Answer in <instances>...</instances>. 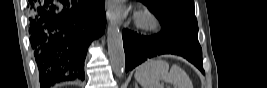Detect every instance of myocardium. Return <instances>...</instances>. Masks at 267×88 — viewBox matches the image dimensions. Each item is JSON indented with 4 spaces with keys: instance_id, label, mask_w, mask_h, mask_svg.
<instances>
[{
    "instance_id": "myocardium-1",
    "label": "myocardium",
    "mask_w": 267,
    "mask_h": 88,
    "mask_svg": "<svg viewBox=\"0 0 267 88\" xmlns=\"http://www.w3.org/2000/svg\"><path fill=\"white\" fill-rule=\"evenodd\" d=\"M136 27L146 33L156 34L162 29L160 19L149 9H140L134 15Z\"/></svg>"
}]
</instances>
